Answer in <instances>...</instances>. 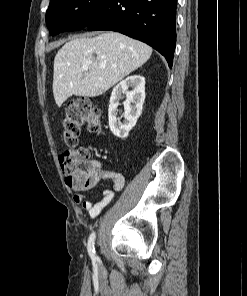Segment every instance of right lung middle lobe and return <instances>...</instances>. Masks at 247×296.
<instances>
[{"instance_id":"right-lung-middle-lobe-1","label":"right lung middle lobe","mask_w":247,"mask_h":296,"mask_svg":"<svg viewBox=\"0 0 247 296\" xmlns=\"http://www.w3.org/2000/svg\"><path fill=\"white\" fill-rule=\"evenodd\" d=\"M103 0H50L46 24L50 35L80 30L94 17Z\"/></svg>"}]
</instances>
